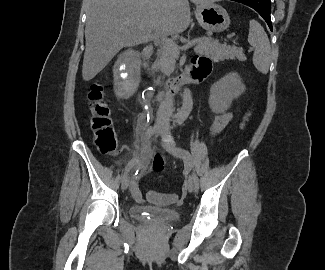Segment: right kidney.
Returning <instances> with one entry per match:
<instances>
[{
    "label": "right kidney",
    "mask_w": 325,
    "mask_h": 270,
    "mask_svg": "<svg viewBox=\"0 0 325 270\" xmlns=\"http://www.w3.org/2000/svg\"><path fill=\"white\" fill-rule=\"evenodd\" d=\"M114 92L118 99H128L140 83L139 56L132 52L122 53L113 69Z\"/></svg>",
    "instance_id": "obj_1"
}]
</instances>
